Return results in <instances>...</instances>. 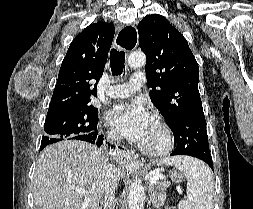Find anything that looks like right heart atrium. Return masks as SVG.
Segmentation results:
<instances>
[{"label":"right heart atrium","mask_w":253,"mask_h":209,"mask_svg":"<svg viewBox=\"0 0 253 209\" xmlns=\"http://www.w3.org/2000/svg\"><path fill=\"white\" fill-rule=\"evenodd\" d=\"M105 134L111 140H116L117 139V134L113 130H111V129L107 130L105 132Z\"/></svg>","instance_id":"obj_1"}]
</instances>
